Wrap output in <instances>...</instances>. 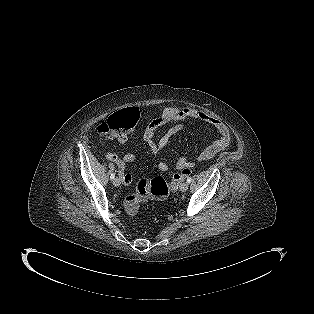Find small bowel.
Listing matches in <instances>:
<instances>
[{
    "label": "small bowel",
    "mask_w": 314,
    "mask_h": 314,
    "mask_svg": "<svg viewBox=\"0 0 314 314\" xmlns=\"http://www.w3.org/2000/svg\"><path fill=\"white\" fill-rule=\"evenodd\" d=\"M188 120L200 121L206 124L211 125L215 128L219 134V137L213 141L211 144L206 146L199 154V161H206L213 158L222 150L226 149L231 142V132L229 127L217 119L216 117L203 112L196 110L194 108H183L177 109L173 107H168L164 109V111L156 118H154L146 127L144 131V140L148 144L151 152L154 155H159L163 149L168 145L172 137L181 132L184 129V122ZM171 126L158 140H155V135L158 129L169 125ZM118 143H125L128 140V135H117L114 137ZM106 158L112 162H114L118 168L121 170L122 180L125 184L131 182L132 176L129 173H124L125 165L127 162L134 159V153L128 151L125 153L123 158H119L115 153L109 151L106 153ZM193 165L192 162L188 161L186 157H180L176 161V167L179 169H183L185 167H191ZM158 169L160 171H167L169 169V165L165 161H159Z\"/></svg>",
    "instance_id": "c3829d8e"
}]
</instances>
